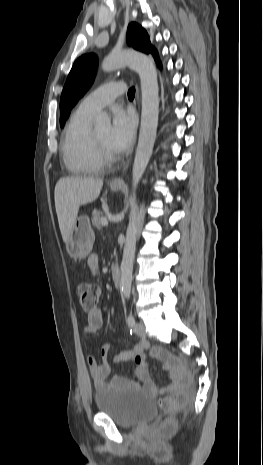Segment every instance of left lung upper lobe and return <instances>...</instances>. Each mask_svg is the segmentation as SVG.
Wrapping results in <instances>:
<instances>
[{
	"mask_svg": "<svg viewBox=\"0 0 263 465\" xmlns=\"http://www.w3.org/2000/svg\"><path fill=\"white\" fill-rule=\"evenodd\" d=\"M127 43L134 49L146 54L152 53L155 50L150 43L147 32L137 23L129 24L127 29ZM96 67L97 57L94 54L82 55L75 61L61 94V126L64 125L65 120L69 117L74 105L92 85Z\"/></svg>",
	"mask_w": 263,
	"mask_h": 465,
	"instance_id": "5c2ea615",
	"label": "left lung upper lobe"
}]
</instances>
